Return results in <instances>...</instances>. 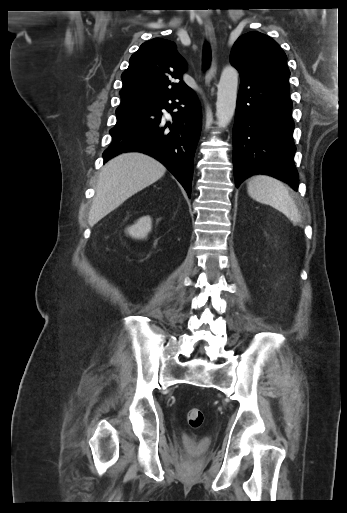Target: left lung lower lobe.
I'll return each instance as SVG.
<instances>
[{"label":"left lung lower lobe","mask_w":347,"mask_h":513,"mask_svg":"<svg viewBox=\"0 0 347 513\" xmlns=\"http://www.w3.org/2000/svg\"><path fill=\"white\" fill-rule=\"evenodd\" d=\"M240 77L233 127L236 187L260 173L283 180L297 191L288 80Z\"/></svg>","instance_id":"obj_1"}]
</instances>
